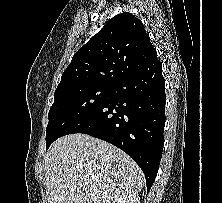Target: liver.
Returning <instances> with one entry per match:
<instances>
[{
  "mask_svg": "<svg viewBox=\"0 0 222 203\" xmlns=\"http://www.w3.org/2000/svg\"><path fill=\"white\" fill-rule=\"evenodd\" d=\"M44 174L49 203H118L144 184L141 169L125 152L80 133L52 143Z\"/></svg>",
  "mask_w": 222,
  "mask_h": 203,
  "instance_id": "liver-1",
  "label": "liver"
}]
</instances>
